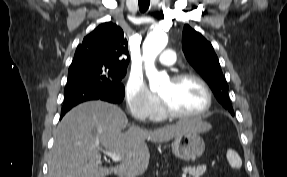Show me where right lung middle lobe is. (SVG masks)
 Instances as JSON below:
<instances>
[{"label": "right lung middle lobe", "mask_w": 287, "mask_h": 177, "mask_svg": "<svg viewBox=\"0 0 287 177\" xmlns=\"http://www.w3.org/2000/svg\"><path fill=\"white\" fill-rule=\"evenodd\" d=\"M125 74L126 70L110 64L100 62L76 63L71 64L69 67L67 82L93 80L108 85H120Z\"/></svg>", "instance_id": "dd1d6c3e"}]
</instances>
